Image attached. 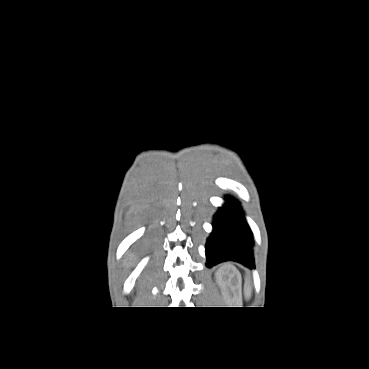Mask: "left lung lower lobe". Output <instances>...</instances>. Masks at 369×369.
I'll use <instances>...</instances> for the list:
<instances>
[{
	"instance_id": "0a47b994",
	"label": "left lung lower lobe",
	"mask_w": 369,
	"mask_h": 369,
	"mask_svg": "<svg viewBox=\"0 0 369 369\" xmlns=\"http://www.w3.org/2000/svg\"><path fill=\"white\" fill-rule=\"evenodd\" d=\"M213 232L207 240V266L224 261H236L254 267L253 237L240 204L232 197L213 217Z\"/></svg>"
}]
</instances>
